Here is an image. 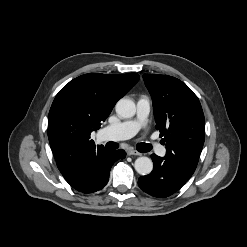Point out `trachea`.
I'll list each match as a JSON object with an SVG mask.
<instances>
[{"label":"trachea","mask_w":247,"mask_h":247,"mask_svg":"<svg viewBox=\"0 0 247 247\" xmlns=\"http://www.w3.org/2000/svg\"><path fill=\"white\" fill-rule=\"evenodd\" d=\"M106 147L108 149H117L118 148V144L117 143H114V142H108L106 144ZM151 148H152V146L150 144H147V143H140L137 146V150L139 152H148V151L151 150Z\"/></svg>","instance_id":"trachea-1"}]
</instances>
